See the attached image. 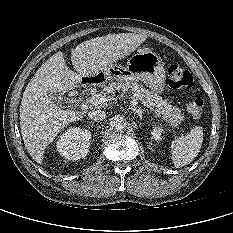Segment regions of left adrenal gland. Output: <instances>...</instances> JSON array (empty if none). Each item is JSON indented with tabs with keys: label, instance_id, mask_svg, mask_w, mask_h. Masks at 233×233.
<instances>
[{
	"label": "left adrenal gland",
	"instance_id": "1",
	"mask_svg": "<svg viewBox=\"0 0 233 233\" xmlns=\"http://www.w3.org/2000/svg\"><path fill=\"white\" fill-rule=\"evenodd\" d=\"M131 110L134 112V113H137L140 120L142 119V113L144 111V109H141V108H136V107H131Z\"/></svg>",
	"mask_w": 233,
	"mask_h": 233
}]
</instances>
